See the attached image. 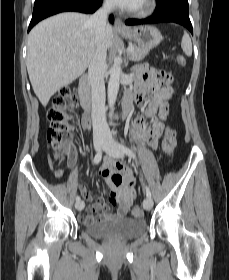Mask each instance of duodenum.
<instances>
[{
	"label": "duodenum",
	"instance_id": "obj_1",
	"mask_svg": "<svg viewBox=\"0 0 229 280\" xmlns=\"http://www.w3.org/2000/svg\"><path fill=\"white\" fill-rule=\"evenodd\" d=\"M78 94H79V101L82 108L86 112H88L92 104V87L91 84L89 83L87 74H83L81 76ZM132 99H133L132 94L126 95L123 99V109H124L125 116H127L130 112ZM88 121L89 119L88 117H86L85 122L88 123Z\"/></svg>",
	"mask_w": 229,
	"mask_h": 280
}]
</instances>
